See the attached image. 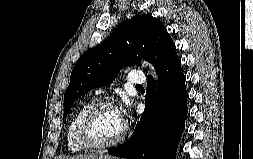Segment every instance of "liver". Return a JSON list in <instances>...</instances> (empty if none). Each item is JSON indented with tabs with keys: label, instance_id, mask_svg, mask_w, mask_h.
Listing matches in <instances>:
<instances>
[{
	"label": "liver",
	"instance_id": "liver-1",
	"mask_svg": "<svg viewBox=\"0 0 253 159\" xmlns=\"http://www.w3.org/2000/svg\"><path fill=\"white\" fill-rule=\"evenodd\" d=\"M104 157H112V156L92 153V154L77 155V156L72 157L71 159H102Z\"/></svg>",
	"mask_w": 253,
	"mask_h": 159
}]
</instances>
